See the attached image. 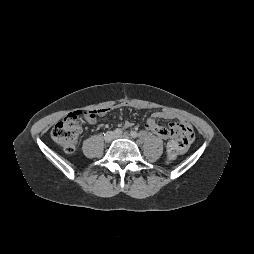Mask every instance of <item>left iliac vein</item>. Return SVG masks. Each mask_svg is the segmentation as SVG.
I'll list each match as a JSON object with an SVG mask.
<instances>
[{"label":"left iliac vein","mask_w":254,"mask_h":254,"mask_svg":"<svg viewBox=\"0 0 254 254\" xmlns=\"http://www.w3.org/2000/svg\"><path fill=\"white\" fill-rule=\"evenodd\" d=\"M116 138H127V139H131L130 134L128 133H124L122 135H117Z\"/></svg>","instance_id":"4c4485c4"}]
</instances>
